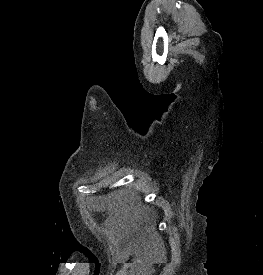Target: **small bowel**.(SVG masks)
I'll return each instance as SVG.
<instances>
[{"label":"small bowel","mask_w":263,"mask_h":275,"mask_svg":"<svg viewBox=\"0 0 263 275\" xmlns=\"http://www.w3.org/2000/svg\"><path fill=\"white\" fill-rule=\"evenodd\" d=\"M131 256H133L132 259ZM122 267L116 275H140L145 266L144 258L139 254L136 245H129L125 254L118 258Z\"/></svg>","instance_id":"obj_1"}]
</instances>
